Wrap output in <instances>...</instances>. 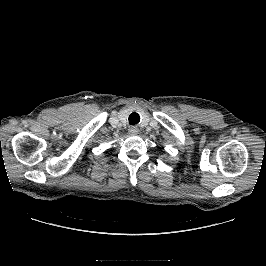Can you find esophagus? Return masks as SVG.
Instances as JSON below:
<instances>
[{
    "label": "esophagus",
    "mask_w": 266,
    "mask_h": 266,
    "mask_svg": "<svg viewBox=\"0 0 266 266\" xmlns=\"http://www.w3.org/2000/svg\"><path fill=\"white\" fill-rule=\"evenodd\" d=\"M138 132H139V129H138L136 126H131V127L129 128V133H130L131 135H136V134H138Z\"/></svg>",
    "instance_id": "34e87169"
}]
</instances>
